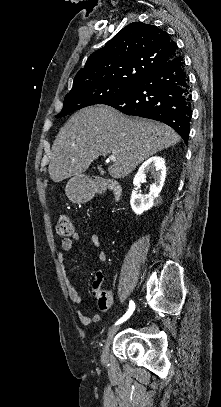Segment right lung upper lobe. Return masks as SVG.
<instances>
[{"label": "right lung upper lobe", "mask_w": 221, "mask_h": 407, "mask_svg": "<svg viewBox=\"0 0 221 407\" xmlns=\"http://www.w3.org/2000/svg\"><path fill=\"white\" fill-rule=\"evenodd\" d=\"M178 52L170 35L158 27L133 22L89 56L71 91L97 84H134Z\"/></svg>", "instance_id": "right-lung-upper-lobe-1"}]
</instances>
